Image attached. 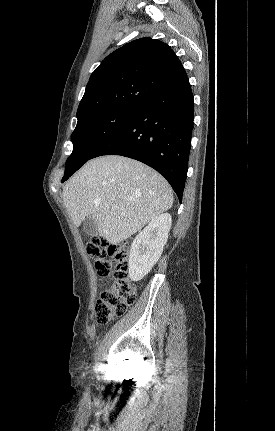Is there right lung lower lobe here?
I'll return each mask as SVG.
<instances>
[{
  "label": "right lung lower lobe",
  "mask_w": 275,
  "mask_h": 431,
  "mask_svg": "<svg viewBox=\"0 0 275 431\" xmlns=\"http://www.w3.org/2000/svg\"><path fill=\"white\" fill-rule=\"evenodd\" d=\"M193 108V94L186 77L141 105L92 158L122 155L141 161L162 174L181 201L187 177Z\"/></svg>",
  "instance_id": "1"
}]
</instances>
